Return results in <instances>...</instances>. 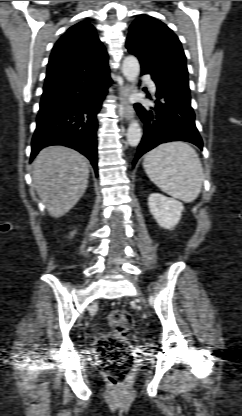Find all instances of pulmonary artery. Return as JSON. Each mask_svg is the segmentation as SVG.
I'll return each mask as SVG.
<instances>
[{"instance_id": "e3ab8cb5", "label": "pulmonary artery", "mask_w": 242, "mask_h": 416, "mask_svg": "<svg viewBox=\"0 0 242 416\" xmlns=\"http://www.w3.org/2000/svg\"><path fill=\"white\" fill-rule=\"evenodd\" d=\"M142 80L145 81L148 84L151 91H153V92L156 91V87H155L154 82L149 80L147 76H143Z\"/></svg>"}]
</instances>
